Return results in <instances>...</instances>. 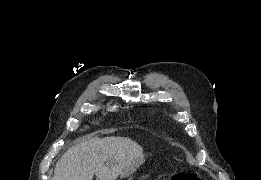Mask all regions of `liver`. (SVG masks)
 <instances>
[{
  "label": "liver",
  "mask_w": 261,
  "mask_h": 180,
  "mask_svg": "<svg viewBox=\"0 0 261 180\" xmlns=\"http://www.w3.org/2000/svg\"><path fill=\"white\" fill-rule=\"evenodd\" d=\"M143 148L130 138H91L71 146L57 162L52 180H116Z\"/></svg>",
  "instance_id": "6515ba94"
}]
</instances>
